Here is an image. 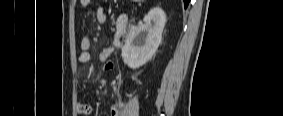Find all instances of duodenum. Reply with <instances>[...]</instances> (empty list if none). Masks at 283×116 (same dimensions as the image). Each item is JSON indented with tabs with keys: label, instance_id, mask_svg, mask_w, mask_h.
<instances>
[{
	"label": "duodenum",
	"instance_id": "obj_1",
	"mask_svg": "<svg viewBox=\"0 0 283 116\" xmlns=\"http://www.w3.org/2000/svg\"><path fill=\"white\" fill-rule=\"evenodd\" d=\"M128 28V16L126 14L119 15L116 24V36H117V45L120 46L121 39L123 35L126 33Z\"/></svg>",
	"mask_w": 283,
	"mask_h": 116
}]
</instances>
